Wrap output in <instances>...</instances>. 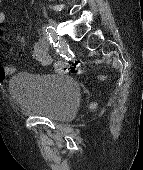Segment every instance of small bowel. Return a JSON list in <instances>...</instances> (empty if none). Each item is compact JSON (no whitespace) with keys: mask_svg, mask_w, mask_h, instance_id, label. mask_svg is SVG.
<instances>
[{"mask_svg":"<svg viewBox=\"0 0 143 170\" xmlns=\"http://www.w3.org/2000/svg\"><path fill=\"white\" fill-rule=\"evenodd\" d=\"M4 20H5V14L4 12L0 11V25L3 24ZM32 54L33 57L43 65H49L52 62L51 55L49 54V52L47 51L43 43L40 41H36L33 44ZM57 65H55L56 69H57ZM14 72H15L14 67L2 63L0 58V80H5L8 76L14 74Z\"/></svg>","mask_w":143,"mask_h":170,"instance_id":"c3829d8e","label":"small bowel"}]
</instances>
